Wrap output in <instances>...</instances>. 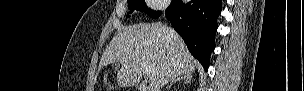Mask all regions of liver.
I'll return each instance as SVG.
<instances>
[{
	"label": "liver",
	"mask_w": 304,
	"mask_h": 91,
	"mask_svg": "<svg viewBox=\"0 0 304 91\" xmlns=\"http://www.w3.org/2000/svg\"><path fill=\"white\" fill-rule=\"evenodd\" d=\"M170 28L159 24H139L118 30L104 50L99 72L111 64L121 65L117 73L118 86H134L142 78L139 62H145L151 71L150 89L159 91L169 80L181 76H191L197 61L189 53L182 38L175 32L170 36ZM107 84V73H104ZM109 91L114 89L109 85Z\"/></svg>",
	"instance_id": "liver-1"
}]
</instances>
